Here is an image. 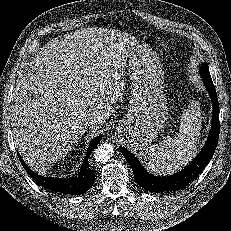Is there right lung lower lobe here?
<instances>
[{"mask_svg":"<svg viewBox=\"0 0 231 231\" xmlns=\"http://www.w3.org/2000/svg\"><path fill=\"white\" fill-rule=\"evenodd\" d=\"M101 136L93 139L88 147L87 154L81 166L80 172L78 176L72 178H52V177H44L33 172L23 161L22 157L18 154L21 164L23 165L26 172L41 186L44 188L63 193V194H71V195H80L85 193L95 181V174L90 169L88 165V158L94 148L98 145Z\"/></svg>","mask_w":231,"mask_h":231,"instance_id":"1","label":"right lung lower lobe"}]
</instances>
